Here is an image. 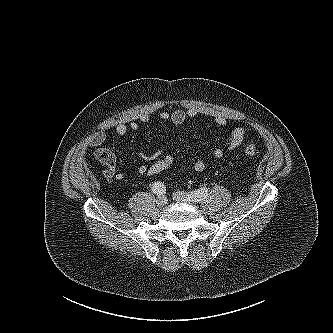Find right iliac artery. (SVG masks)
Instances as JSON below:
<instances>
[{"instance_id": "obj_1", "label": "right iliac artery", "mask_w": 333, "mask_h": 333, "mask_svg": "<svg viewBox=\"0 0 333 333\" xmlns=\"http://www.w3.org/2000/svg\"><path fill=\"white\" fill-rule=\"evenodd\" d=\"M152 190L157 195H163L166 192V187L162 182L157 181L153 184Z\"/></svg>"}]
</instances>
